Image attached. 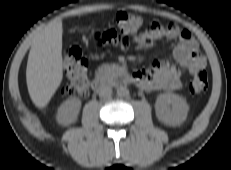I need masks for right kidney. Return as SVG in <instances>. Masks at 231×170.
Segmentation results:
<instances>
[{
  "instance_id": "ca27d5eb",
  "label": "right kidney",
  "mask_w": 231,
  "mask_h": 170,
  "mask_svg": "<svg viewBox=\"0 0 231 170\" xmlns=\"http://www.w3.org/2000/svg\"><path fill=\"white\" fill-rule=\"evenodd\" d=\"M81 108V101L78 98H70L64 101L58 110L57 121L62 125H69L76 121Z\"/></svg>"
}]
</instances>
